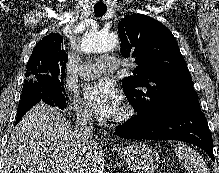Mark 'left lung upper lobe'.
Here are the masks:
<instances>
[{
    "mask_svg": "<svg viewBox=\"0 0 219 173\" xmlns=\"http://www.w3.org/2000/svg\"><path fill=\"white\" fill-rule=\"evenodd\" d=\"M121 52L135 59L134 76L122 80L135 118L150 120L174 106L198 101L187 64L171 31L143 14L118 24Z\"/></svg>",
    "mask_w": 219,
    "mask_h": 173,
    "instance_id": "1",
    "label": "left lung upper lobe"
}]
</instances>
